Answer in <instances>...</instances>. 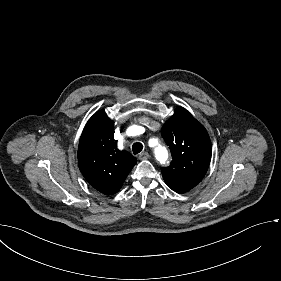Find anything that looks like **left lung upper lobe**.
Returning a JSON list of instances; mask_svg holds the SVG:
<instances>
[{
	"label": "left lung upper lobe",
	"mask_w": 281,
	"mask_h": 281,
	"mask_svg": "<svg viewBox=\"0 0 281 281\" xmlns=\"http://www.w3.org/2000/svg\"><path fill=\"white\" fill-rule=\"evenodd\" d=\"M161 135L173 158L169 167L161 169L163 179L175 192H187L203 179L209 167L212 153L209 135L182 107L164 124Z\"/></svg>",
	"instance_id": "1"
}]
</instances>
